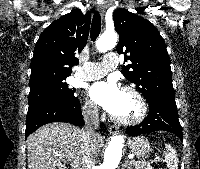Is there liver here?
Here are the masks:
<instances>
[{
    "instance_id": "1",
    "label": "liver",
    "mask_w": 200,
    "mask_h": 169,
    "mask_svg": "<svg viewBox=\"0 0 200 169\" xmlns=\"http://www.w3.org/2000/svg\"><path fill=\"white\" fill-rule=\"evenodd\" d=\"M103 142L101 135L93 137L94 156L100 152ZM27 152L29 169H66V161L72 169H80L82 130L61 122L46 124L29 135Z\"/></svg>"
}]
</instances>
